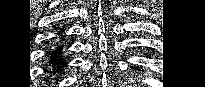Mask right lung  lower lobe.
I'll return each mask as SVG.
<instances>
[{
    "instance_id": "98d812e1",
    "label": "right lung lower lobe",
    "mask_w": 205,
    "mask_h": 87,
    "mask_svg": "<svg viewBox=\"0 0 205 87\" xmlns=\"http://www.w3.org/2000/svg\"><path fill=\"white\" fill-rule=\"evenodd\" d=\"M63 45H56L48 56V66L53 73H59L65 66L66 61L62 56Z\"/></svg>"
}]
</instances>
